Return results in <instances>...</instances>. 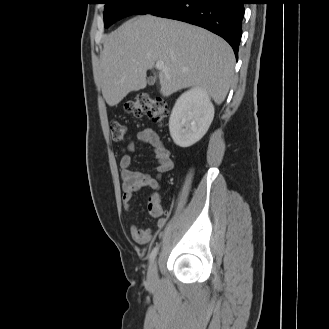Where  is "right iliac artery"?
I'll list each match as a JSON object with an SVG mask.
<instances>
[{
    "mask_svg": "<svg viewBox=\"0 0 329 329\" xmlns=\"http://www.w3.org/2000/svg\"><path fill=\"white\" fill-rule=\"evenodd\" d=\"M157 252H158V246H156L150 254V259H149L150 263H152L154 261V259L156 258Z\"/></svg>",
    "mask_w": 329,
    "mask_h": 329,
    "instance_id": "obj_1",
    "label": "right iliac artery"
}]
</instances>
